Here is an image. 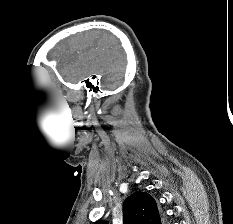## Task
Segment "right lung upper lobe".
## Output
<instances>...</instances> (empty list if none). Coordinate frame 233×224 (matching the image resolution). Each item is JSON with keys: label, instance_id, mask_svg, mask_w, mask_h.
I'll return each instance as SVG.
<instances>
[{"label": "right lung upper lobe", "instance_id": "right-lung-upper-lobe-1", "mask_svg": "<svg viewBox=\"0 0 233 224\" xmlns=\"http://www.w3.org/2000/svg\"><path fill=\"white\" fill-rule=\"evenodd\" d=\"M155 200L146 192H135L129 196L123 207V224H162ZM95 224H108L97 221Z\"/></svg>", "mask_w": 233, "mask_h": 224}]
</instances>
